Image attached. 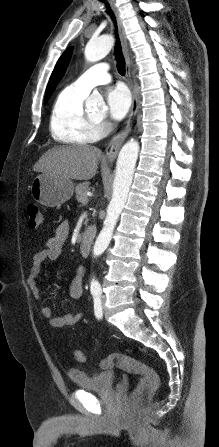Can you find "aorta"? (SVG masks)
<instances>
[{
    "instance_id": "aorta-1",
    "label": "aorta",
    "mask_w": 219,
    "mask_h": 447,
    "mask_svg": "<svg viewBox=\"0 0 219 447\" xmlns=\"http://www.w3.org/2000/svg\"><path fill=\"white\" fill-rule=\"evenodd\" d=\"M112 45L113 40L110 35H102L98 38L90 39L84 52L86 60L89 62L101 60L110 52ZM94 102L99 104L100 100H95ZM138 153L139 143L133 139L125 143L119 152L112 199L107 207L103 228L93 248L94 256L101 255L111 241L114 228L127 201Z\"/></svg>"
}]
</instances>
